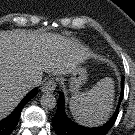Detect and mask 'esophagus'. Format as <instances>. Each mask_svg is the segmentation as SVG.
<instances>
[{
    "label": "esophagus",
    "mask_w": 135,
    "mask_h": 135,
    "mask_svg": "<svg viewBox=\"0 0 135 135\" xmlns=\"http://www.w3.org/2000/svg\"><path fill=\"white\" fill-rule=\"evenodd\" d=\"M56 89V82L53 79L47 80L41 87L42 92L52 93Z\"/></svg>",
    "instance_id": "1"
}]
</instances>
